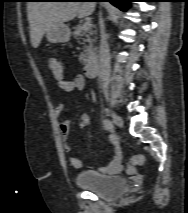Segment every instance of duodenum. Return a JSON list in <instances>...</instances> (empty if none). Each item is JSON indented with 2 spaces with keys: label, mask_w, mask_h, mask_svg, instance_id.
<instances>
[{
  "label": "duodenum",
  "mask_w": 188,
  "mask_h": 213,
  "mask_svg": "<svg viewBox=\"0 0 188 213\" xmlns=\"http://www.w3.org/2000/svg\"><path fill=\"white\" fill-rule=\"evenodd\" d=\"M99 72V64L96 60H89L85 65V73L89 78L96 77Z\"/></svg>",
  "instance_id": "obj_1"
}]
</instances>
